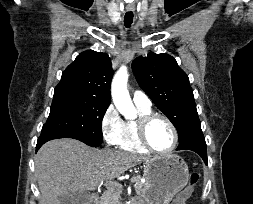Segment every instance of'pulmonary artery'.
<instances>
[{
  "label": "pulmonary artery",
  "instance_id": "obj_1",
  "mask_svg": "<svg viewBox=\"0 0 253 204\" xmlns=\"http://www.w3.org/2000/svg\"><path fill=\"white\" fill-rule=\"evenodd\" d=\"M132 97L133 102L136 106L142 108H151V100L144 92L135 90Z\"/></svg>",
  "mask_w": 253,
  "mask_h": 204
}]
</instances>
